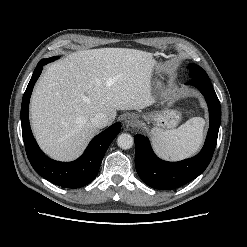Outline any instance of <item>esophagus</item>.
<instances>
[{
  "label": "esophagus",
  "instance_id": "obj_1",
  "mask_svg": "<svg viewBox=\"0 0 247 247\" xmlns=\"http://www.w3.org/2000/svg\"><path fill=\"white\" fill-rule=\"evenodd\" d=\"M138 123V119L137 116L134 114H128L125 118H124V124L127 128L129 127H134L136 126Z\"/></svg>",
  "mask_w": 247,
  "mask_h": 247
}]
</instances>
